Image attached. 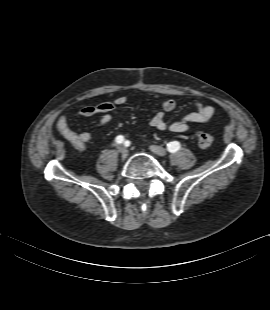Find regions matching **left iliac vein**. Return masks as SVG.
Listing matches in <instances>:
<instances>
[{
    "label": "left iliac vein",
    "mask_w": 270,
    "mask_h": 310,
    "mask_svg": "<svg viewBox=\"0 0 270 310\" xmlns=\"http://www.w3.org/2000/svg\"><path fill=\"white\" fill-rule=\"evenodd\" d=\"M150 150L153 153H155V154H157V155H159L161 157H164L166 155V150L163 147H161V146L151 145L150 146Z\"/></svg>",
    "instance_id": "1"
}]
</instances>
